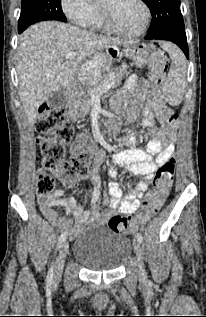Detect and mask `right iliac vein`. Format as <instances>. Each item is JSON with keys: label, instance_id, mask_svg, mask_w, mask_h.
Returning a JSON list of instances; mask_svg holds the SVG:
<instances>
[{"label": "right iliac vein", "instance_id": "obj_1", "mask_svg": "<svg viewBox=\"0 0 206 317\" xmlns=\"http://www.w3.org/2000/svg\"><path fill=\"white\" fill-rule=\"evenodd\" d=\"M69 252V244L67 241H64L63 244L61 245L56 263H55V268H54V275L55 278H59L62 275L63 272V267H64V262L65 258Z\"/></svg>", "mask_w": 206, "mask_h": 317}]
</instances>
